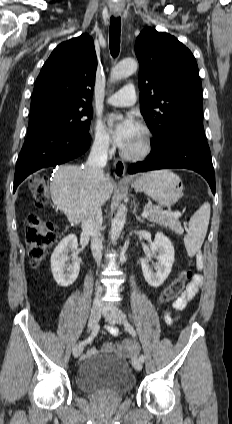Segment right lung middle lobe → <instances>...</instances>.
Instances as JSON below:
<instances>
[{
    "label": "right lung middle lobe",
    "instance_id": "right-lung-middle-lobe-1",
    "mask_svg": "<svg viewBox=\"0 0 232 424\" xmlns=\"http://www.w3.org/2000/svg\"><path fill=\"white\" fill-rule=\"evenodd\" d=\"M91 118V106L44 104L31 108L28 133L37 130H55L83 134L88 132Z\"/></svg>",
    "mask_w": 232,
    "mask_h": 424
}]
</instances>
